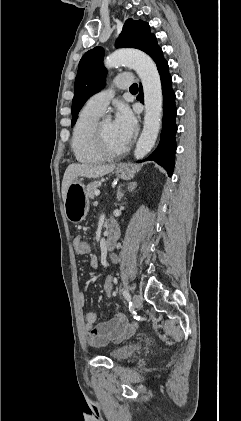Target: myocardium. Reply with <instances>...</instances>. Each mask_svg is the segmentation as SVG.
<instances>
[{
    "instance_id": "f54148a6",
    "label": "myocardium",
    "mask_w": 241,
    "mask_h": 421,
    "mask_svg": "<svg viewBox=\"0 0 241 421\" xmlns=\"http://www.w3.org/2000/svg\"><path fill=\"white\" fill-rule=\"evenodd\" d=\"M102 124H103V121L98 122L95 127V132H94V142H95V146L98 152L104 158H115V157H119L125 154L129 149L128 145H125L123 148L119 150H112L108 147L105 141Z\"/></svg>"
}]
</instances>
